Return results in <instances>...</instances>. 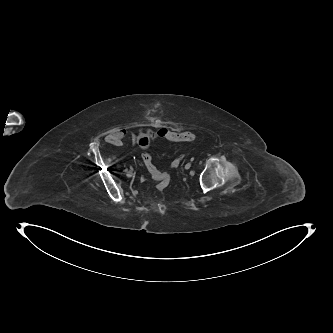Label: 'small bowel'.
Wrapping results in <instances>:
<instances>
[{
  "label": "small bowel",
  "mask_w": 333,
  "mask_h": 333,
  "mask_svg": "<svg viewBox=\"0 0 333 333\" xmlns=\"http://www.w3.org/2000/svg\"><path fill=\"white\" fill-rule=\"evenodd\" d=\"M127 135L128 131L125 128H115L106 135L105 140L107 143L119 146L123 144ZM130 137L132 144L137 145L144 152L149 150L153 141L163 138L159 135V130L146 127H140L136 132H131Z\"/></svg>",
  "instance_id": "1"
}]
</instances>
